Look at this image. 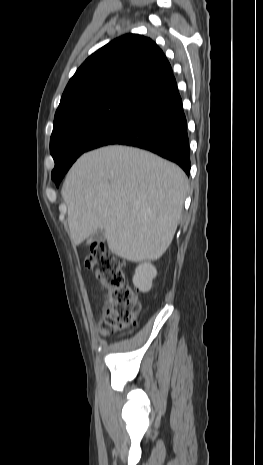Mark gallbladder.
Segmentation results:
<instances>
[{
	"mask_svg": "<svg viewBox=\"0 0 263 465\" xmlns=\"http://www.w3.org/2000/svg\"><path fill=\"white\" fill-rule=\"evenodd\" d=\"M105 231L104 229H98L95 233H93L87 241V244H91L93 242H101L105 240Z\"/></svg>",
	"mask_w": 263,
	"mask_h": 465,
	"instance_id": "obj_1",
	"label": "gallbladder"
}]
</instances>
